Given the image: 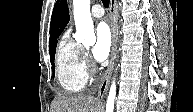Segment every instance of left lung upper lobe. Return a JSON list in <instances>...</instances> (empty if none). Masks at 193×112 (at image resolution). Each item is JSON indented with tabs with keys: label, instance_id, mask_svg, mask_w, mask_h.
Returning a JSON list of instances; mask_svg holds the SVG:
<instances>
[{
	"label": "left lung upper lobe",
	"instance_id": "5c2ea615",
	"mask_svg": "<svg viewBox=\"0 0 193 112\" xmlns=\"http://www.w3.org/2000/svg\"><path fill=\"white\" fill-rule=\"evenodd\" d=\"M58 2H59V1H57L56 5H55V7H54L53 15H54V12H55V9H56V6H57ZM52 18H53V16H52Z\"/></svg>",
	"mask_w": 193,
	"mask_h": 112
}]
</instances>
